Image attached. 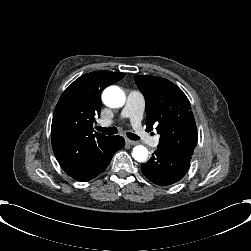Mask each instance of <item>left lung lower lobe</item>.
<instances>
[{
	"label": "left lung lower lobe",
	"instance_id": "0a47b994",
	"mask_svg": "<svg viewBox=\"0 0 251 251\" xmlns=\"http://www.w3.org/2000/svg\"><path fill=\"white\" fill-rule=\"evenodd\" d=\"M190 156H182L157 149L151 159L141 164L145 177L159 186L178 182L190 168Z\"/></svg>",
	"mask_w": 251,
	"mask_h": 251
}]
</instances>
